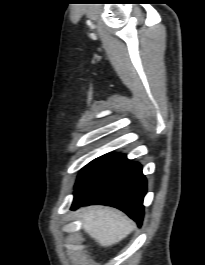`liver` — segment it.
I'll return each mask as SVG.
<instances>
[{"label": "liver", "instance_id": "obj_1", "mask_svg": "<svg viewBox=\"0 0 205 265\" xmlns=\"http://www.w3.org/2000/svg\"><path fill=\"white\" fill-rule=\"evenodd\" d=\"M81 219L84 231L104 247L120 242L136 227L126 216L107 207L83 209Z\"/></svg>", "mask_w": 205, "mask_h": 265}]
</instances>
